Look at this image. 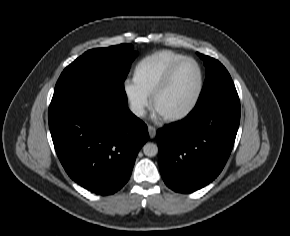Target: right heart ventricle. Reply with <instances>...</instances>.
<instances>
[{
    "mask_svg": "<svg viewBox=\"0 0 290 236\" xmlns=\"http://www.w3.org/2000/svg\"><path fill=\"white\" fill-rule=\"evenodd\" d=\"M182 58L176 53L164 51L144 59L135 72V84L147 95L150 94L170 67Z\"/></svg>",
    "mask_w": 290,
    "mask_h": 236,
    "instance_id": "e07e8e85",
    "label": "right heart ventricle"
}]
</instances>
